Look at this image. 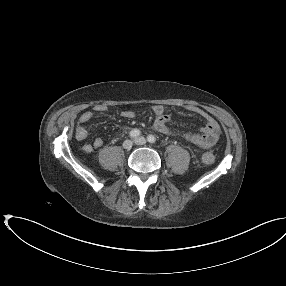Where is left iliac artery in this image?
Instances as JSON below:
<instances>
[{"mask_svg":"<svg viewBox=\"0 0 286 286\" xmlns=\"http://www.w3.org/2000/svg\"><path fill=\"white\" fill-rule=\"evenodd\" d=\"M147 139H148V141H149L150 143H155V142H156V137H155L154 135H149V136L147 137Z\"/></svg>","mask_w":286,"mask_h":286,"instance_id":"left-iliac-artery-1","label":"left iliac artery"}]
</instances>
